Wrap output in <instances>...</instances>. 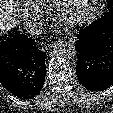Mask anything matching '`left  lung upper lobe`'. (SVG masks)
I'll list each match as a JSON object with an SVG mask.
<instances>
[{
	"mask_svg": "<svg viewBox=\"0 0 113 113\" xmlns=\"http://www.w3.org/2000/svg\"><path fill=\"white\" fill-rule=\"evenodd\" d=\"M108 11L105 13V15L100 18V20H105L107 18H113V0H108Z\"/></svg>",
	"mask_w": 113,
	"mask_h": 113,
	"instance_id": "obj_1",
	"label": "left lung upper lobe"
}]
</instances>
